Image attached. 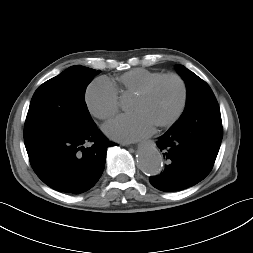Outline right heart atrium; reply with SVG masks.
Returning <instances> with one entry per match:
<instances>
[{"mask_svg":"<svg viewBox=\"0 0 253 253\" xmlns=\"http://www.w3.org/2000/svg\"><path fill=\"white\" fill-rule=\"evenodd\" d=\"M84 100L90 114L100 120H109L119 111L118 92L105 78H97L89 84Z\"/></svg>","mask_w":253,"mask_h":253,"instance_id":"1","label":"right heart atrium"}]
</instances>
